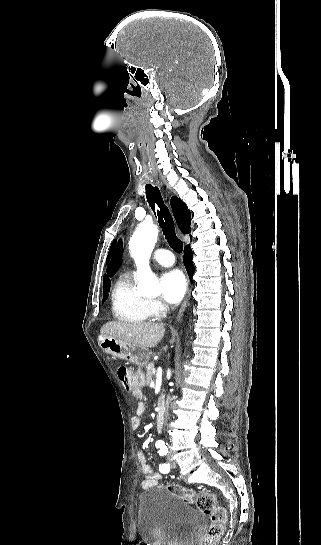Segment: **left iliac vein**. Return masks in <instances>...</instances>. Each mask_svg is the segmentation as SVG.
<instances>
[{
  "label": "left iliac vein",
  "instance_id": "obj_1",
  "mask_svg": "<svg viewBox=\"0 0 321 545\" xmlns=\"http://www.w3.org/2000/svg\"><path fill=\"white\" fill-rule=\"evenodd\" d=\"M167 461L172 468L176 467V462L173 460L170 453L167 455Z\"/></svg>",
  "mask_w": 321,
  "mask_h": 545
}]
</instances>
